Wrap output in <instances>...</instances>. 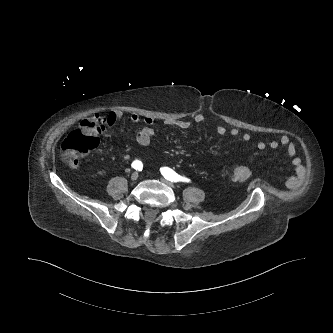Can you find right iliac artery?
<instances>
[{
    "instance_id": "right-iliac-artery-1",
    "label": "right iliac artery",
    "mask_w": 333,
    "mask_h": 333,
    "mask_svg": "<svg viewBox=\"0 0 333 333\" xmlns=\"http://www.w3.org/2000/svg\"><path fill=\"white\" fill-rule=\"evenodd\" d=\"M132 168L138 170V171H141L142 168H143V164L140 160H135L132 162L131 164Z\"/></svg>"
}]
</instances>
